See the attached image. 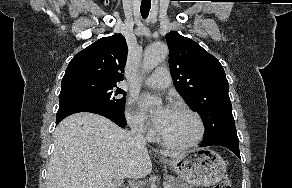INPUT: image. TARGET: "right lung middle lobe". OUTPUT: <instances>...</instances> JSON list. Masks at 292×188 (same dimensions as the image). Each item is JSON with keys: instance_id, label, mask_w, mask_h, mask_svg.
I'll return each instance as SVG.
<instances>
[{"instance_id": "right-lung-middle-lobe-1", "label": "right lung middle lobe", "mask_w": 292, "mask_h": 188, "mask_svg": "<svg viewBox=\"0 0 292 188\" xmlns=\"http://www.w3.org/2000/svg\"><path fill=\"white\" fill-rule=\"evenodd\" d=\"M117 85L115 82L86 77L62 80L59 100L83 99L106 110L122 113L126 93Z\"/></svg>"}]
</instances>
